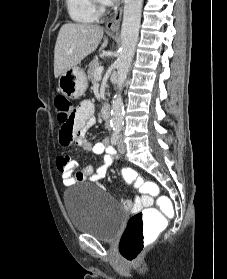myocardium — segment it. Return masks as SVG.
I'll use <instances>...</instances> for the list:
<instances>
[{"instance_id": "f54148a6", "label": "myocardium", "mask_w": 227, "mask_h": 279, "mask_svg": "<svg viewBox=\"0 0 227 279\" xmlns=\"http://www.w3.org/2000/svg\"><path fill=\"white\" fill-rule=\"evenodd\" d=\"M90 1H91V3L93 4L94 7H97V8H98V7L101 6L99 0H90Z\"/></svg>"}]
</instances>
